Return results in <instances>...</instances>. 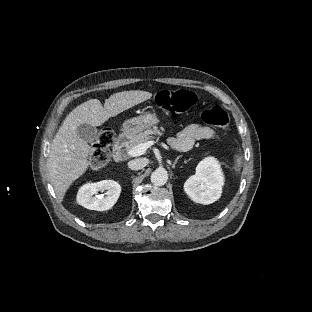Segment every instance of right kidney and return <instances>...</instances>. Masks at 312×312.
Masks as SVG:
<instances>
[{"mask_svg":"<svg viewBox=\"0 0 312 312\" xmlns=\"http://www.w3.org/2000/svg\"><path fill=\"white\" fill-rule=\"evenodd\" d=\"M120 192L121 186L116 181L102 180L82 186L77 200L86 209L101 212L112 208L117 202Z\"/></svg>","mask_w":312,"mask_h":312,"instance_id":"ca27d5eb","label":"right kidney"}]
</instances>
